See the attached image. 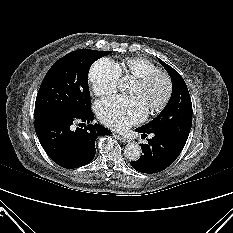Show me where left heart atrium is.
Wrapping results in <instances>:
<instances>
[{
  "label": "left heart atrium",
  "mask_w": 233,
  "mask_h": 233,
  "mask_svg": "<svg viewBox=\"0 0 233 233\" xmlns=\"http://www.w3.org/2000/svg\"><path fill=\"white\" fill-rule=\"evenodd\" d=\"M99 120L113 129H125L143 120L146 109L136 96H113L96 104Z\"/></svg>",
  "instance_id": "1"
}]
</instances>
